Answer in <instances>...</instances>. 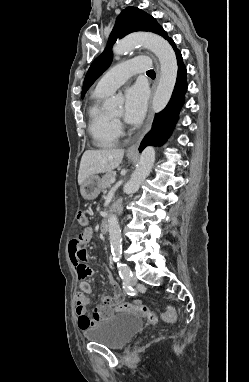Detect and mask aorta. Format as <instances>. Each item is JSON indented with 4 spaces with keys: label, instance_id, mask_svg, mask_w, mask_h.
Wrapping results in <instances>:
<instances>
[{
    "label": "aorta",
    "instance_id": "obj_1",
    "mask_svg": "<svg viewBox=\"0 0 249 382\" xmlns=\"http://www.w3.org/2000/svg\"><path fill=\"white\" fill-rule=\"evenodd\" d=\"M138 45L152 51L160 62V79L152 102V109L157 113L165 108L174 90L178 72L176 54L168 41L153 33L129 35L116 43L113 52L116 55H124L134 50ZM115 106V100L108 101L107 107L109 109H113ZM154 161L155 150L148 146L141 153L134 173L124 186L125 193L131 194L138 191L141 183L150 174ZM108 231L111 251L114 255L119 256L122 251V239L118 219L115 215H110L108 219Z\"/></svg>",
    "mask_w": 249,
    "mask_h": 382
}]
</instances>
